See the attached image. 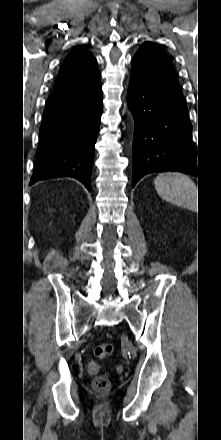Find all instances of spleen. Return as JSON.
Listing matches in <instances>:
<instances>
[{"mask_svg":"<svg viewBox=\"0 0 221 440\" xmlns=\"http://www.w3.org/2000/svg\"><path fill=\"white\" fill-rule=\"evenodd\" d=\"M160 197L183 208L196 210L198 192L195 183L185 174L178 172L160 173L154 180Z\"/></svg>","mask_w":221,"mask_h":440,"instance_id":"1","label":"spleen"}]
</instances>
